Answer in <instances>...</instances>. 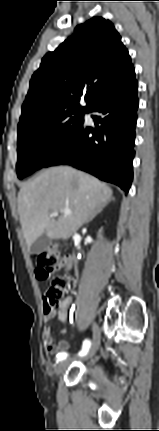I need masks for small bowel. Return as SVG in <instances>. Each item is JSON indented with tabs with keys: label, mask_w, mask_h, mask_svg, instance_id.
Listing matches in <instances>:
<instances>
[{
	"label": "small bowel",
	"mask_w": 159,
	"mask_h": 431,
	"mask_svg": "<svg viewBox=\"0 0 159 431\" xmlns=\"http://www.w3.org/2000/svg\"><path fill=\"white\" fill-rule=\"evenodd\" d=\"M72 267V262L69 257H65L61 260L57 268H64L65 270H69ZM71 304V298L66 297L57 312L58 320L63 324L61 329L62 334L68 333V329L66 327L67 321V310L69 305ZM42 335L44 340V345L46 346L47 351L52 355H58L59 353L65 352L69 348V342L66 340H60L57 344L53 343V337L51 333V328L49 325H44L42 329Z\"/></svg>",
	"instance_id": "obj_1"
}]
</instances>
